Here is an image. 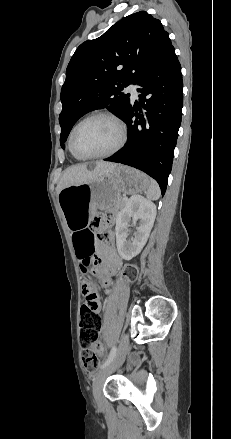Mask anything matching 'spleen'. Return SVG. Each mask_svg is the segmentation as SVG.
Returning a JSON list of instances; mask_svg holds the SVG:
<instances>
[{
  "mask_svg": "<svg viewBox=\"0 0 231 439\" xmlns=\"http://www.w3.org/2000/svg\"><path fill=\"white\" fill-rule=\"evenodd\" d=\"M160 195H161V191H160L158 183L155 180L150 179L149 187H148V190L146 192L147 199L158 200Z\"/></svg>",
  "mask_w": 231,
  "mask_h": 439,
  "instance_id": "obj_1",
  "label": "spleen"
}]
</instances>
